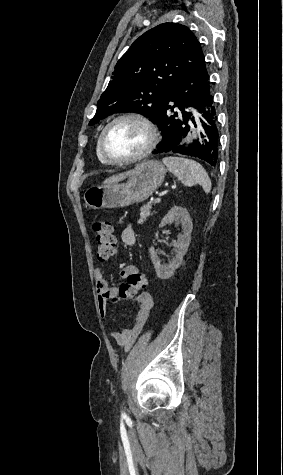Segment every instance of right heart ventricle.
Masks as SVG:
<instances>
[{"label":"right heart ventricle","instance_id":"e07e8e85","mask_svg":"<svg viewBox=\"0 0 283 475\" xmlns=\"http://www.w3.org/2000/svg\"><path fill=\"white\" fill-rule=\"evenodd\" d=\"M95 156L99 162H106L100 155L99 148H98V140L96 141V144H95Z\"/></svg>","mask_w":283,"mask_h":475}]
</instances>
